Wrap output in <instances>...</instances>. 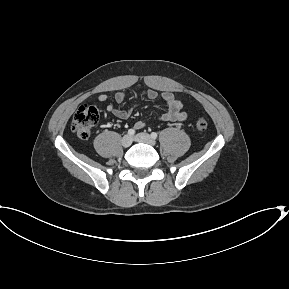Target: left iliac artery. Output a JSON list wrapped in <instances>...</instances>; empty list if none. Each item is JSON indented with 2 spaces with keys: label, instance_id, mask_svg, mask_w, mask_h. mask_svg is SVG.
<instances>
[{
  "label": "left iliac artery",
  "instance_id": "1",
  "mask_svg": "<svg viewBox=\"0 0 289 289\" xmlns=\"http://www.w3.org/2000/svg\"><path fill=\"white\" fill-rule=\"evenodd\" d=\"M157 136H158V135H157V133H156V132H152V133H151V137H152L153 139H156V138H157Z\"/></svg>",
  "mask_w": 289,
  "mask_h": 289
}]
</instances>
